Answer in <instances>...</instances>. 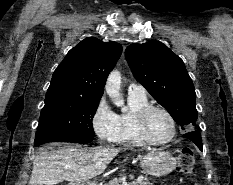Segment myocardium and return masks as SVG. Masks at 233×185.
<instances>
[{"label":"myocardium","mask_w":233,"mask_h":185,"mask_svg":"<svg viewBox=\"0 0 233 185\" xmlns=\"http://www.w3.org/2000/svg\"><path fill=\"white\" fill-rule=\"evenodd\" d=\"M154 110H158V111L163 112L169 118V120L171 122V126H172L171 134L163 140H155V139L151 138V136L149 135L148 130H147V118H148L149 114ZM136 126H137V130H138L140 137L146 143L151 144V145L166 144V143L170 142L176 136V133H177V124H176V120H175L174 116L172 115V113L168 109H166L165 107L160 106V105L148 104L147 106L142 108L136 116Z\"/></svg>","instance_id":"1"}]
</instances>
